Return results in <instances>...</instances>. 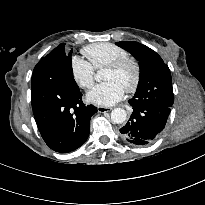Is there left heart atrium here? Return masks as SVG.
<instances>
[{"mask_svg": "<svg viewBox=\"0 0 205 205\" xmlns=\"http://www.w3.org/2000/svg\"><path fill=\"white\" fill-rule=\"evenodd\" d=\"M124 87L114 80L95 86L88 94L87 101L99 106H112L124 96Z\"/></svg>", "mask_w": 205, "mask_h": 205, "instance_id": "obj_1", "label": "left heart atrium"}]
</instances>
